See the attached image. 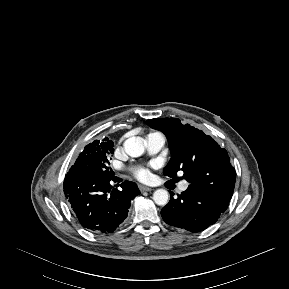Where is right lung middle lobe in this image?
Listing matches in <instances>:
<instances>
[{"label":"right lung middle lobe","mask_w":289,"mask_h":289,"mask_svg":"<svg viewBox=\"0 0 289 289\" xmlns=\"http://www.w3.org/2000/svg\"><path fill=\"white\" fill-rule=\"evenodd\" d=\"M113 146V142L108 139L95 140L85 146L75 165L71 168L78 169L96 178H111L113 171L108 168V158L110 154L114 153Z\"/></svg>","instance_id":"right-lung-middle-lobe-1"}]
</instances>
